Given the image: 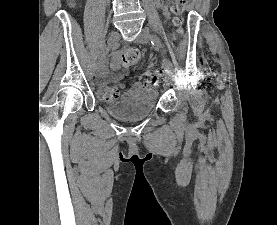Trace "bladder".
Segmentation results:
<instances>
[{
    "mask_svg": "<svg viewBox=\"0 0 277 225\" xmlns=\"http://www.w3.org/2000/svg\"><path fill=\"white\" fill-rule=\"evenodd\" d=\"M157 91L131 89L106 104L107 111L121 120L136 121L148 117L156 108Z\"/></svg>",
    "mask_w": 277,
    "mask_h": 225,
    "instance_id": "1",
    "label": "bladder"
}]
</instances>
